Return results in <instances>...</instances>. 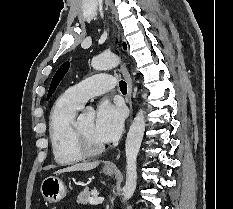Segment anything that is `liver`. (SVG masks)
<instances>
[{
    "label": "liver",
    "mask_w": 233,
    "mask_h": 209,
    "mask_svg": "<svg viewBox=\"0 0 233 209\" xmlns=\"http://www.w3.org/2000/svg\"><path fill=\"white\" fill-rule=\"evenodd\" d=\"M99 165V162H83L78 163L63 169L56 171V174L65 173V172H73V171H88L96 168Z\"/></svg>",
    "instance_id": "6515ba94"
}]
</instances>
